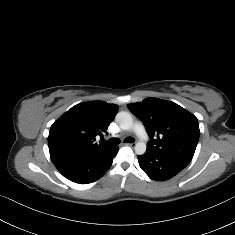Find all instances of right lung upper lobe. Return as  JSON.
Returning a JSON list of instances; mask_svg holds the SVG:
<instances>
[{"label":"right lung upper lobe","instance_id":"right-lung-upper-lobe-1","mask_svg":"<svg viewBox=\"0 0 235 235\" xmlns=\"http://www.w3.org/2000/svg\"><path fill=\"white\" fill-rule=\"evenodd\" d=\"M118 106L103 101H90L75 105L51 126L48 145L50 152H96L107 149L96 143V136L103 137L107 126L114 120Z\"/></svg>","mask_w":235,"mask_h":235}]
</instances>
